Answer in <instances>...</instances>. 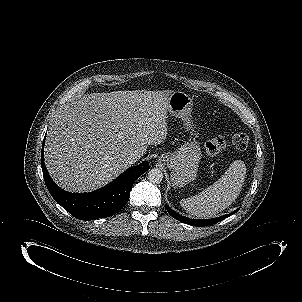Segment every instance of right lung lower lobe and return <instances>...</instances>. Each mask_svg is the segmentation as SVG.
Returning a JSON list of instances; mask_svg holds the SVG:
<instances>
[{"mask_svg": "<svg viewBox=\"0 0 302 302\" xmlns=\"http://www.w3.org/2000/svg\"><path fill=\"white\" fill-rule=\"evenodd\" d=\"M44 142L45 140L42 147ZM41 166L46 186L53 199L75 218L86 221L109 217L119 212L128 202L134 182L149 170L148 162H143L129 168L113 182L99 190L77 194L62 190L50 178L44 163L43 148Z\"/></svg>", "mask_w": 302, "mask_h": 302, "instance_id": "right-lung-lower-lobe-1", "label": "right lung lower lobe"}]
</instances>
